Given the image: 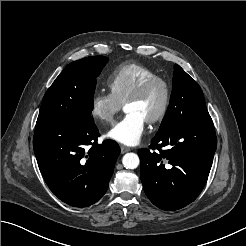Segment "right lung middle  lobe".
I'll return each instance as SVG.
<instances>
[{
	"label": "right lung middle lobe",
	"mask_w": 246,
	"mask_h": 246,
	"mask_svg": "<svg viewBox=\"0 0 246 246\" xmlns=\"http://www.w3.org/2000/svg\"><path fill=\"white\" fill-rule=\"evenodd\" d=\"M108 62L105 56L70 63L47 90L37 123L90 126L96 78Z\"/></svg>",
	"instance_id": "1"
}]
</instances>
